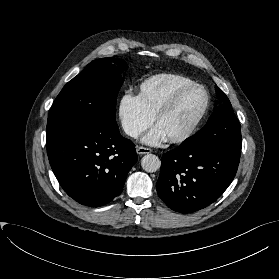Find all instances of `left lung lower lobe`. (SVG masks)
I'll use <instances>...</instances> for the list:
<instances>
[{
    "mask_svg": "<svg viewBox=\"0 0 279 279\" xmlns=\"http://www.w3.org/2000/svg\"><path fill=\"white\" fill-rule=\"evenodd\" d=\"M239 158V150L222 145L179 146L161 158L157 193L176 212L201 210L231 184Z\"/></svg>",
    "mask_w": 279,
    "mask_h": 279,
    "instance_id": "obj_1",
    "label": "left lung lower lobe"
}]
</instances>
